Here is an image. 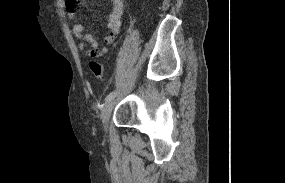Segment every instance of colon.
I'll return each instance as SVG.
<instances>
[{"label":"colon","instance_id":"colon-1","mask_svg":"<svg viewBox=\"0 0 285 183\" xmlns=\"http://www.w3.org/2000/svg\"><path fill=\"white\" fill-rule=\"evenodd\" d=\"M77 2L78 0H66V4L68 6L69 9L74 10L75 9V5L73 4V2ZM89 67L90 70L93 74V76L99 80V81H105L106 79V75H105V71H104V67L101 63L96 62V61H91L89 63Z\"/></svg>","mask_w":285,"mask_h":183}]
</instances>
